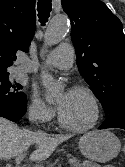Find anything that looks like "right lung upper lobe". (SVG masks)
I'll return each mask as SVG.
<instances>
[{
    "label": "right lung upper lobe",
    "instance_id": "right-lung-upper-lobe-1",
    "mask_svg": "<svg viewBox=\"0 0 125 167\" xmlns=\"http://www.w3.org/2000/svg\"><path fill=\"white\" fill-rule=\"evenodd\" d=\"M36 26L35 0H0V74L18 50L28 52Z\"/></svg>",
    "mask_w": 125,
    "mask_h": 167
}]
</instances>
